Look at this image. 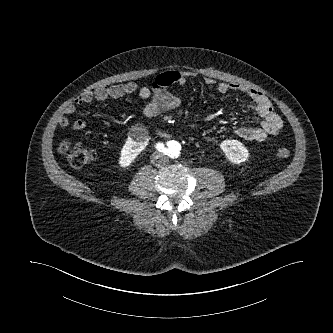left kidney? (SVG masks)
Segmentation results:
<instances>
[{
	"label": "left kidney",
	"instance_id": "1",
	"mask_svg": "<svg viewBox=\"0 0 333 333\" xmlns=\"http://www.w3.org/2000/svg\"><path fill=\"white\" fill-rule=\"evenodd\" d=\"M220 148L226 155L227 159L234 164L245 162L249 158L247 148L238 140H224Z\"/></svg>",
	"mask_w": 333,
	"mask_h": 333
}]
</instances>
